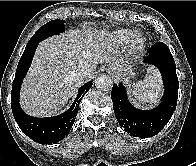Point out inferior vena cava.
I'll return each mask as SVG.
<instances>
[{"label":"inferior vena cava","instance_id":"602c4592","mask_svg":"<svg viewBox=\"0 0 196 166\" xmlns=\"http://www.w3.org/2000/svg\"><path fill=\"white\" fill-rule=\"evenodd\" d=\"M88 75L89 70L85 68H77L75 71V77L80 81L85 80L88 77Z\"/></svg>","mask_w":196,"mask_h":166}]
</instances>
